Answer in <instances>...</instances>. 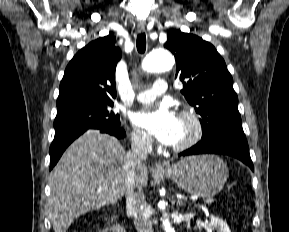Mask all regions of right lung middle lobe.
Masks as SVG:
<instances>
[{"label":"right lung middle lobe","instance_id":"obj_1","mask_svg":"<svg viewBox=\"0 0 289 232\" xmlns=\"http://www.w3.org/2000/svg\"><path fill=\"white\" fill-rule=\"evenodd\" d=\"M113 103L75 102L57 108L55 132L72 128L120 126V117L110 110Z\"/></svg>","mask_w":289,"mask_h":232}]
</instances>
